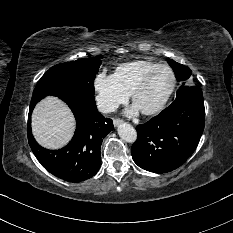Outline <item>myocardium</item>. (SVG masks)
Wrapping results in <instances>:
<instances>
[{
  "mask_svg": "<svg viewBox=\"0 0 233 233\" xmlns=\"http://www.w3.org/2000/svg\"><path fill=\"white\" fill-rule=\"evenodd\" d=\"M160 69H167L170 71V73L172 75V84H171L169 91L165 95V97L162 99V101L156 107H154L150 110L141 111V113L145 116H153V115L159 114L161 111H163L164 108L167 106L169 100L171 99V97L176 89V86H177V78H176V74H175L174 70L169 65L159 64L158 66H156L153 69H151L150 71H148L141 78V80L136 84V86L133 88V90L131 92L132 102L133 103L135 102L136 96L146 87L148 81L153 76V74Z\"/></svg>",
  "mask_w": 233,
  "mask_h": 233,
  "instance_id": "myocardium-1",
  "label": "myocardium"
}]
</instances>
